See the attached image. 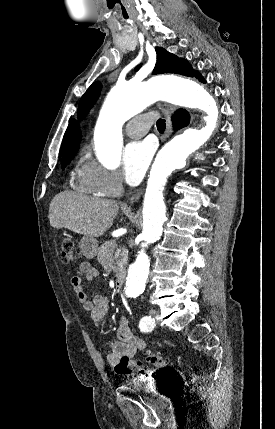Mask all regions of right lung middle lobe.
Listing matches in <instances>:
<instances>
[{
	"instance_id": "right-lung-middle-lobe-1",
	"label": "right lung middle lobe",
	"mask_w": 275,
	"mask_h": 429,
	"mask_svg": "<svg viewBox=\"0 0 275 429\" xmlns=\"http://www.w3.org/2000/svg\"><path fill=\"white\" fill-rule=\"evenodd\" d=\"M74 156H75V154L62 157L61 167L63 170L66 167V165H68L70 163V161L74 158Z\"/></svg>"
}]
</instances>
